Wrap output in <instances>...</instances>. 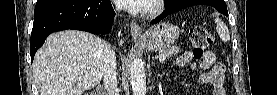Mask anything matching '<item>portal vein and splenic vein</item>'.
<instances>
[{
  "label": "portal vein and splenic vein",
  "instance_id": "1",
  "mask_svg": "<svg viewBox=\"0 0 277 95\" xmlns=\"http://www.w3.org/2000/svg\"><path fill=\"white\" fill-rule=\"evenodd\" d=\"M165 59H166V57H165L164 55H161V56L159 57V61H160V62H164Z\"/></svg>",
  "mask_w": 277,
  "mask_h": 95
}]
</instances>
